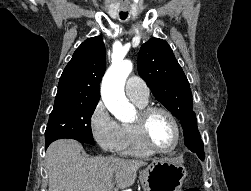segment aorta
I'll use <instances>...</instances> for the list:
<instances>
[{
    "label": "aorta",
    "mask_w": 251,
    "mask_h": 191,
    "mask_svg": "<svg viewBox=\"0 0 251 191\" xmlns=\"http://www.w3.org/2000/svg\"><path fill=\"white\" fill-rule=\"evenodd\" d=\"M132 68L130 60H122L113 54L112 66L107 70L101 86V96L107 109L120 121H129L134 115V105L129 103L124 92L125 82Z\"/></svg>",
    "instance_id": "obj_1"
}]
</instances>
